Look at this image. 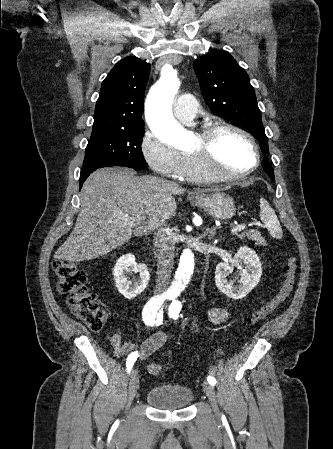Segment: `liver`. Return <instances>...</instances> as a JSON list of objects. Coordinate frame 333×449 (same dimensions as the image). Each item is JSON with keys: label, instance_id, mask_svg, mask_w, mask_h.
Instances as JSON below:
<instances>
[{"label": "liver", "instance_id": "obj_1", "mask_svg": "<svg viewBox=\"0 0 333 449\" xmlns=\"http://www.w3.org/2000/svg\"><path fill=\"white\" fill-rule=\"evenodd\" d=\"M184 192L175 183L152 176L138 177L129 169L93 172L81 190L75 227L58 249L57 257L76 262L91 260L119 248L133 235L152 232L157 224L175 215L174 195ZM125 214L130 217L125 218Z\"/></svg>", "mask_w": 333, "mask_h": 449}]
</instances>
